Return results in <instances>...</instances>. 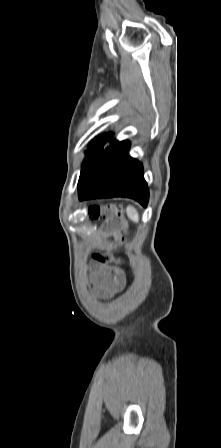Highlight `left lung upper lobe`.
Instances as JSON below:
<instances>
[{
  "label": "left lung upper lobe",
  "instance_id": "1",
  "mask_svg": "<svg viewBox=\"0 0 221 448\" xmlns=\"http://www.w3.org/2000/svg\"><path fill=\"white\" fill-rule=\"evenodd\" d=\"M107 139H103L101 136H99V139H96L92 144L90 149L86 152V159L83 162L84 167H88L95 162H97L107 151H111L118 147L121 143L114 140L110 146H108L106 149H104V144L106 143Z\"/></svg>",
  "mask_w": 221,
  "mask_h": 448
}]
</instances>
